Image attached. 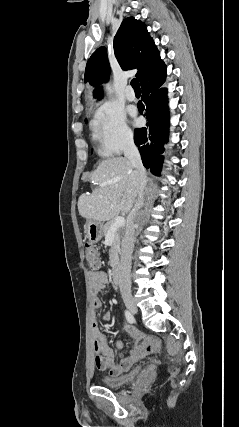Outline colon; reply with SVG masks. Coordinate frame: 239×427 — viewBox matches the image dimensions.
Returning a JSON list of instances; mask_svg holds the SVG:
<instances>
[{"mask_svg": "<svg viewBox=\"0 0 239 427\" xmlns=\"http://www.w3.org/2000/svg\"><path fill=\"white\" fill-rule=\"evenodd\" d=\"M85 254L89 268L93 270L98 269L101 265V258L97 248L94 245L87 243L85 245Z\"/></svg>", "mask_w": 239, "mask_h": 427, "instance_id": "obj_1", "label": "colon"}]
</instances>
